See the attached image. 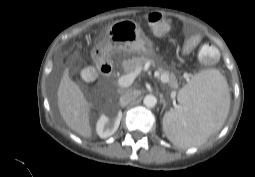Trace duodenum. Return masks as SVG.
<instances>
[{
	"instance_id": "duodenum-1",
	"label": "duodenum",
	"mask_w": 255,
	"mask_h": 177,
	"mask_svg": "<svg viewBox=\"0 0 255 177\" xmlns=\"http://www.w3.org/2000/svg\"><path fill=\"white\" fill-rule=\"evenodd\" d=\"M97 66L101 73L107 77L110 78L113 74V67L110 63H108L104 58H98L97 59Z\"/></svg>"
}]
</instances>
